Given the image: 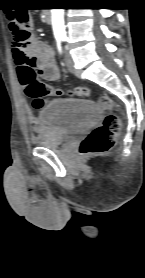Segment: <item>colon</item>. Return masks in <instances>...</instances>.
<instances>
[{
    "instance_id": "colon-1",
    "label": "colon",
    "mask_w": 145,
    "mask_h": 278,
    "mask_svg": "<svg viewBox=\"0 0 145 278\" xmlns=\"http://www.w3.org/2000/svg\"><path fill=\"white\" fill-rule=\"evenodd\" d=\"M8 26L13 35L14 42L28 50L32 48L31 19L25 10L10 13L7 17ZM22 88L32 100L33 106L40 109L50 96L60 97L65 94H73L81 98L90 95L88 87H76L72 90H63L46 85L34 73L28 74L22 79ZM101 107L114 109L115 103L110 96L104 95L99 99ZM121 126V120L116 114H108L103 122L94 127L83 139L79 146V152L84 156H93L111 149L117 139Z\"/></svg>"
}]
</instances>
